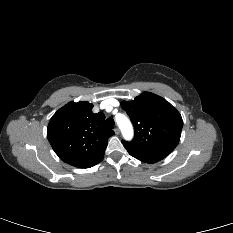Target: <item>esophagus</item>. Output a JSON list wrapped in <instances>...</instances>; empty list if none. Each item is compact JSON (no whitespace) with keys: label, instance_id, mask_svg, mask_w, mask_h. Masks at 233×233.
<instances>
[{"label":"esophagus","instance_id":"1","mask_svg":"<svg viewBox=\"0 0 233 233\" xmlns=\"http://www.w3.org/2000/svg\"><path fill=\"white\" fill-rule=\"evenodd\" d=\"M114 132H115V134H116V135H119V133H120L119 128H118V127H116V128L114 129Z\"/></svg>","mask_w":233,"mask_h":233}]
</instances>
